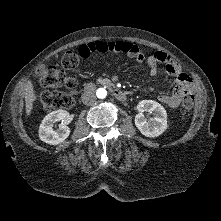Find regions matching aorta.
<instances>
[{
	"mask_svg": "<svg viewBox=\"0 0 221 221\" xmlns=\"http://www.w3.org/2000/svg\"><path fill=\"white\" fill-rule=\"evenodd\" d=\"M96 95H97L98 98L104 99V98H106V96H107V91H106V89H104V88H99V89L96 91Z\"/></svg>",
	"mask_w": 221,
	"mask_h": 221,
	"instance_id": "1",
	"label": "aorta"
}]
</instances>
